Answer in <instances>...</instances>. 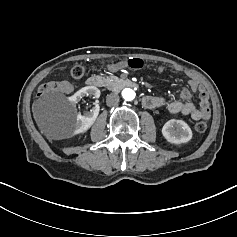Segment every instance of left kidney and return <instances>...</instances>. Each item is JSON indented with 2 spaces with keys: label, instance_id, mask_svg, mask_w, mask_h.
Masks as SVG:
<instances>
[{
  "label": "left kidney",
  "instance_id": "obj_1",
  "mask_svg": "<svg viewBox=\"0 0 237 237\" xmlns=\"http://www.w3.org/2000/svg\"><path fill=\"white\" fill-rule=\"evenodd\" d=\"M162 136L172 144L187 143L192 139L193 133L189 125L183 120H168L161 130Z\"/></svg>",
  "mask_w": 237,
  "mask_h": 237
}]
</instances>
